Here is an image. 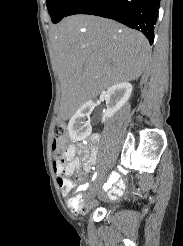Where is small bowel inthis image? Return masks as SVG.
Masks as SVG:
<instances>
[{
  "mask_svg": "<svg viewBox=\"0 0 183 246\" xmlns=\"http://www.w3.org/2000/svg\"><path fill=\"white\" fill-rule=\"evenodd\" d=\"M99 141H100V137L98 135L91 136L88 143L82 146L80 149L81 157H76V152L78 148L76 145L71 144L67 147L65 153V160L67 161V164L65 165L63 162L60 161L54 162L53 169L55 175L57 176V183L64 195H68L72 191L74 186L68 177L75 172L81 171L82 162H84V167H83L84 170L86 172L90 170L91 163L97 155ZM111 172H112L111 179H116V180H105V184H102V189H107L108 196L114 199L122 195L125 185L122 180H118V179H122V174H119L120 172L119 169H112ZM87 188H88V184L84 183L78 187V190L79 192H83ZM127 188L131 189L132 185L128 184ZM128 197L132 198L133 194L129 193ZM71 200L72 198L69 199V205L72 208Z\"/></svg>",
  "mask_w": 183,
  "mask_h": 246,
  "instance_id": "c3829d8e",
  "label": "small bowel"
}]
</instances>
